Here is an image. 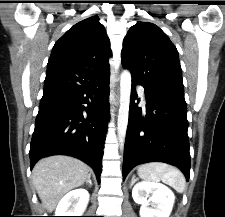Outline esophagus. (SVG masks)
I'll list each match as a JSON object with an SVG mask.
<instances>
[{
  "label": "esophagus",
  "mask_w": 225,
  "mask_h": 217,
  "mask_svg": "<svg viewBox=\"0 0 225 217\" xmlns=\"http://www.w3.org/2000/svg\"><path fill=\"white\" fill-rule=\"evenodd\" d=\"M115 101V99L114 98H111V102L113 103Z\"/></svg>",
  "instance_id": "1"
}]
</instances>
